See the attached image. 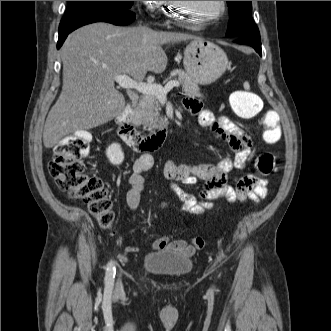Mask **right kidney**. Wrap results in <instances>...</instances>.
Instances as JSON below:
<instances>
[{"instance_id":"1","label":"right kidney","mask_w":331,"mask_h":331,"mask_svg":"<svg viewBox=\"0 0 331 331\" xmlns=\"http://www.w3.org/2000/svg\"><path fill=\"white\" fill-rule=\"evenodd\" d=\"M106 155L113 165H119L124 160V153L118 143L110 145L106 150Z\"/></svg>"}]
</instances>
